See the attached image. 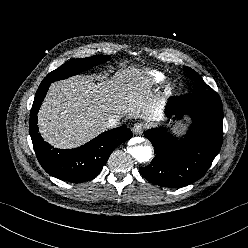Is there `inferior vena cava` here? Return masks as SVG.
<instances>
[{"label": "inferior vena cava", "mask_w": 248, "mask_h": 248, "mask_svg": "<svg viewBox=\"0 0 248 248\" xmlns=\"http://www.w3.org/2000/svg\"><path fill=\"white\" fill-rule=\"evenodd\" d=\"M119 124H120L119 118L110 117L107 119L104 127L105 128H114V127L118 126Z\"/></svg>", "instance_id": "obj_1"}]
</instances>
